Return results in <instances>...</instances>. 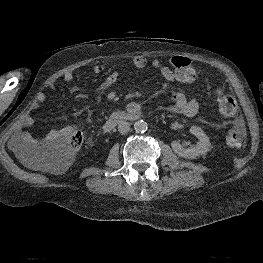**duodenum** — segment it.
<instances>
[{"label":"duodenum","mask_w":263,"mask_h":263,"mask_svg":"<svg viewBox=\"0 0 263 263\" xmlns=\"http://www.w3.org/2000/svg\"><path fill=\"white\" fill-rule=\"evenodd\" d=\"M141 106L139 104H127L121 109L113 112L104 124V130L109 131L116 124L128 121L136 120L141 115Z\"/></svg>","instance_id":"obj_1"}]
</instances>
